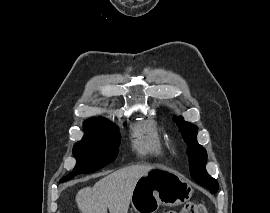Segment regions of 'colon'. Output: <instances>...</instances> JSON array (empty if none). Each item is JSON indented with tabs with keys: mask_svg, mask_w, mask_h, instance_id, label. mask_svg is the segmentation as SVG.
<instances>
[{
	"mask_svg": "<svg viewBox=\"0 0 270 213\" xmlns=\"http://www.w3.org/2000/svg\"><path fill=\"white\" fill-rule=\"evenodd\" d=\"M166 213H208V210L205 205L199 203H187L183 208L177 211H167Z\"/></svg>",
	"mask_w": 270,
	"mask_h": 213,
	"instance_id": "colon-1",
	"label": "colon"
}]
</instances>
